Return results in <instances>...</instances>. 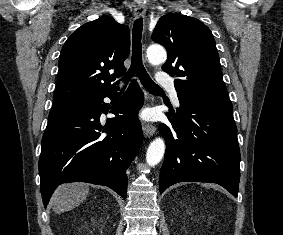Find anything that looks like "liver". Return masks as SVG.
Here are the masks:
<instances>
[{"label": "liver", "mask_w": 283, "mask_h": 235, "mask_svg": "<svg viewBox=\"0 0 283 235\" xmlns=\"http://www.w3.org/2000/svg\"><path fill=\"white\" fill-rule=\"evenodd\" d=\"M89 193V186L84 183L60 185L54 192L51 203L57 214L69 211L81 204Z\"/></svg>", "instance_id": "obj_1"}]
</instances>
